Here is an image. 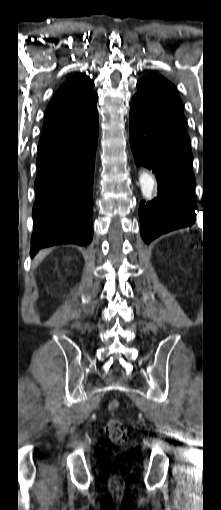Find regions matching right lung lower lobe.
Here are the masks:
<instances>
[{"mask_svg":"<svg viewBox=\"0 0 221 510\" xmlns=\"http://www.w3.org/2000/svg\"><path fill=\"white\" fill-rule=\"evenodd\" d=\"M98 118L86 129L38 144L30 254L92 239L93 177Z\"/></svg>","mask_w":221,"mask_h":510,"instance_id":"right-lung-lower-lobe-1","label":"right lung lower lobe"}]
</instances>
